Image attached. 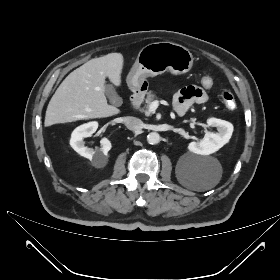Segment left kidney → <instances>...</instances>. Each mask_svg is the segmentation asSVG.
I'll return each mask as SVG.
<instances>
[{
  "mask_svg": "<svg viewBox=\"0 0 280 280\" xmlns=\"http://www.w3.org/2000/svg\"><path fill=\"white\" fill-rule=\"evenodd\" d=\"M207 124L211 127H217L218 132H207L200 142L189 143V151L198 155H210L229 142L233 133V125L230 122L209 118Z\"/></svg>",
  "mask_w": 280,
  "mask_h": 280,
  "instance_id": "left-kidney-1",
  "label": "left kidney"
}]
</instances>
